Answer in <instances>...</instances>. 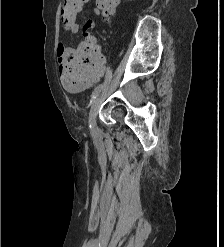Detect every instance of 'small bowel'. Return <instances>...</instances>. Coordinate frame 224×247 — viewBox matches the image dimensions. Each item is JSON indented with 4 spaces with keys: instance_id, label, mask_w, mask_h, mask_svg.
<instances>
[{
    "instance_id": "obj_1",
    "label": "small bowel",
    "mask_w": 224,
    "mask_h": 247,
    "mask_svg": "<svg viewBox=\"0 0 224 247\" xmlns=\"http://www.w3.org/2000/svg\"><path fill=\"white\" fill-rule=\"evenodd\" d=\"M90 0H83V4L89 2ZM93 14L95 16H99L101 14L99 8L93 9ZM95 27L94 19L91 17L89 18L84 24V37H88L90 35L89 30H92ZM70 34H77L79 32V26L77 23H74L65 28ZM72 51L67 49L63 43H60L57 50L58 55V62L64 63L66 60V56L71 53Z\"/></svg>"
}]
</instances>
